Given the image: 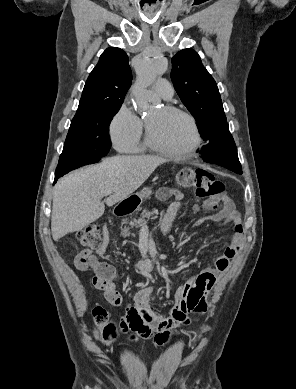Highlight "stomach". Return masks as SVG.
<instances>
[{
    "label": "stomach",
    "mask_w": 296,
    "mask_h": 389,
    "mask_svg": "<svg viewBox=\"0 0 296 389\" xmlns=\"http://www.w3.org/2000/svg\"><path fill=\"white\" fill-rule=\"evenodd\" d=\"M150 194H151V190L150 189H143L136 196L142 201L144 198L148 197Z\"/></svg>",
    "instance_id": "stomach-1"
}]
</instances>
